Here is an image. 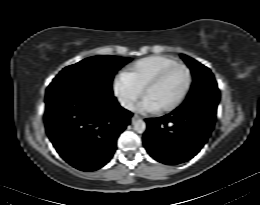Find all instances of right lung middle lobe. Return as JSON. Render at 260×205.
I'll return each instance as SVG.
<instances>
[{"instance_id": "dd1d6c3e", "label": "right lung middle lobe", "mask_w": 260, "mask_h": 205, "mask_svg": "<svg viewBox=\"0 0 260 205\" xmlns=\"http://www.w3.org/2000/svg\"><path fill=\"white\" fill-rule=\"evenodd\" d=\"M129 58L116 56H94L64 68L51 84L61 83L87 86L107 95L113 96L111 82L114 74Z\"/></svg>"}]
</instances>
